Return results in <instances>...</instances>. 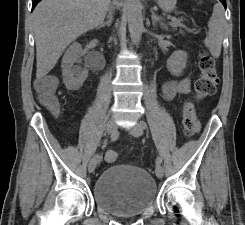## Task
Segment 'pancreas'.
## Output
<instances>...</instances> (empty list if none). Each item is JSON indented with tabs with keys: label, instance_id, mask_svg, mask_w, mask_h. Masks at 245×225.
Here are the masks:
<instances>
[{
	"label": "pancreas",
	"instance_id": "cf45deb5",
	"mask_svg": "<svg viewBox=\"0 0 245 225\" xmlns=\"http://www.w3.org/2000/svg\"><path fill=\"white\" fill-rule=\"evenodd\" d=\"M181 21L182 20H178L177 22H176V24L174 25V26H172V27H174V28H176V27H185L182 23H181Z\"/></svg>",
	"mask_w": 245,
	"mask_h": 225
}]
</instances>
